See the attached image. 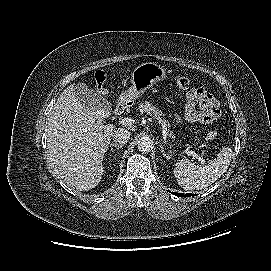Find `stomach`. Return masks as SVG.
<instances>
[{
    "instance_id": "0dacf381",
    "label": "stomach",
    "mask_w": 271,
    "mask_h": 271,
    "mask_svg": "<svg viewBox=\"0 0 271 271\" xmlns=\"http://www.w3.org/2000/svg\"><path fill=\"white\" fill-rule=\"evenodd\" d=\"M166 78L165 68L154 62H146L136 67L131 73L130 87L121 93L119 102L131 105L147 89Z\"/></svg>"
}]
</instances>
